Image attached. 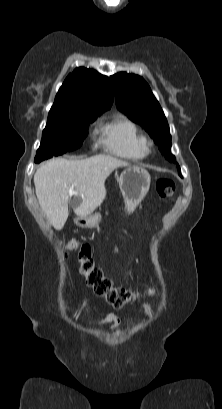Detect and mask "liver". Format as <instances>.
Masks as SVG:
<instances>
[{
	"label": "liver",
	"mask_w": 222,
	"mask_h": 409,
	"mask_svg": "<svg viewBox=\"0 0 222 409\" xmlns=\"http://www.w3.org/2000/svg\"><path fill=\"white\" fill-rule=\"evenodd\" d=\"M130 164L110 155L82 160L56 158L40 166L34 174L38 202L50 224L61 230L68 218V201L74 195L76 215L93 213L106 197L105 180L118 167ZM72 192H70L71 187Z\"/></svg>",
	"instance_id": "obj_1"
}]
</instances>
